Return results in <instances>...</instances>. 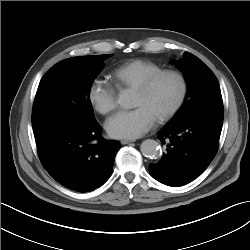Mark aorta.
Returning a JSON list of instances; mask_svg holds the SVG:
<instances>
[{"label": "aorta", "instance_id": "obj_1", "mask_svg": "<svg viewBox=\"0 0 250 250\" xmlns=\"http://www.w3.org/2000/svg\"><path fill=\"white\" fill-rule=\"evenodd\" d=\"M118 103L123 108H131L133 104L132 96L127 91H123L118 96ZM140 150L145 157L151 159H157L161 155V147L159 143L153 139L143 141L140 145Z\"/></svg>", "mask_w": 250, "mask_h": 250}]
</instances>
